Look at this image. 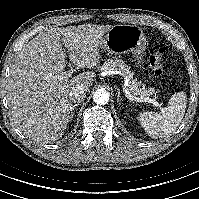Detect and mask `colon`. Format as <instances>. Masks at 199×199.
<instances>
[{"instance_id": "obj_1", "label": "colon", "mask_w": 199, "mask_h": 199, "mask_svg": "<svg viewBox=\"0 0 199 199\" xmlns=\"http://www.w3.org/2000/svg\"><path fill=\"white\" fill-rule=\"evenodd\" d=\"M164 48H152L149 51V64L156 77H162L165 73V65L162 61Z\"/></svg>"}]
</instances>
